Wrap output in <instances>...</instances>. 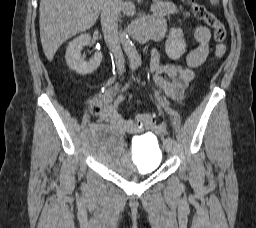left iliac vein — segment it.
I'll return each instance as SVG.
<instances>
[{
	"mask_svg": "<svg viewBox=\"0 0 256 228\" xmlns=\"http://www.w3.org/2000/svg\"><path fill=\"white\" fill-rule=\"evenodd\" d=\"M164 148H165L167 153H171L172 152V148H173L172 142H170L168 140H165L164 141Z\"/></svg>",
	"mask_w": 256,
	"mask_h": 228,
	"instance_id": "left-iliac-vein-1",
	"label": "left iliac vein"
}]
</instances>
